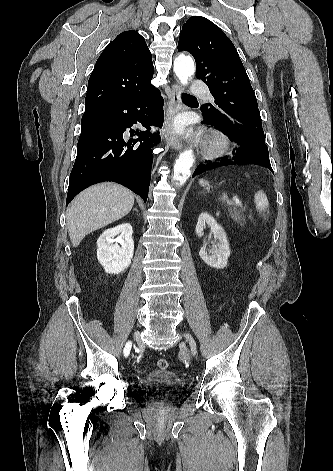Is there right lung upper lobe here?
Listing matches in <instances>:
<instances>
[{
	"label": "right lung upper lobe",
	"instance_id": "1",
	"mask_svg": "<svg viewBox=\"0 0 333 471\" xmlns=\"http://www.w3.org/2000/svg\"><path fill=\"white\" fill-rule=\"evenodd\" d=\"M151 57L139 33L130 30L119 34L104 49L89 78L85 113L122 101L152 85Z\"/></svg>",
	"mask_w": 333,
	"mask_h": 471
}]
</instances>
